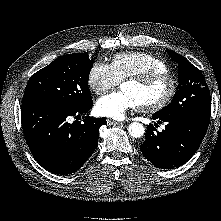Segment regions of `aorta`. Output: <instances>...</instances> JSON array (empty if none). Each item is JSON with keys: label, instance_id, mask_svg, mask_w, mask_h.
<instances>
[{"label": "aorta", "instance_id": "762f6f07", "mask_svg": "<svg viewBox=\"0 0 221 221\" xmlns=\"http://www.w3.org/2000/svg\"><path fill=\"white\" fill-rule=\"evenodd\" d=\"M128 131L132 137L139 138L143 136L145 129L141 123L133 122L129 125Z\"/></svg>", "mask_w": 221, "mask_h": 221}]
</instances>
